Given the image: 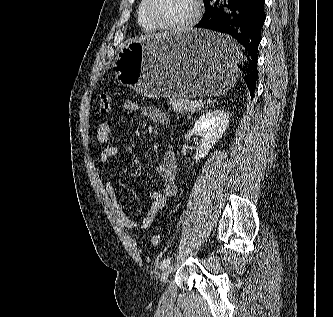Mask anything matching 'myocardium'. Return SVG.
Masks as SVG:
<instances>
[{"label": "myocardium", "instance_id": "f54148a6", "mask_svg": "<svg viewBox=\"0 0 333 317\" xmlns=\"http://www.w3.org/2000/svg\"><path fill=\"white\" fill-rule=\"evenodd\" d=\"M151 2L152 0H144V14L148 22L157 30L168 31L172 33H184L190 30L198 21L202 11L201 0H191L192 13L190 17L183 23L178 25H169L157 21L151 14Z\"/></svg>", "mask_w": 333, "mask_h": 317}]
</instances>
